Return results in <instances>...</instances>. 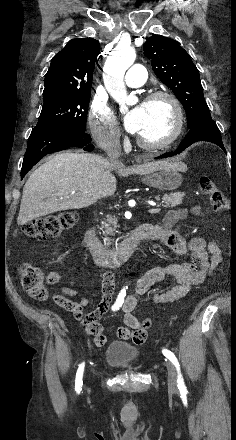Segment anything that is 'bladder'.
Segmentation results:
<instances>
[{"label":"bladder","instance_id":"obj_1","mask_svg":"<svg viewBox=\"0 0 236 440\" xmlns=\"http://www.w3.org/2000/svg\"><path fill=\"white\" fill-rule=\"evenodd\" d=\"M138 356L137 348L126 342L114 341L107 347L105 361L111 366L127 369L136 362Z\"/></svg>","mask_w":236,"mask_h":440}]
</instances>
